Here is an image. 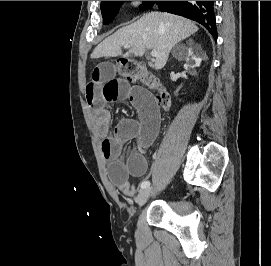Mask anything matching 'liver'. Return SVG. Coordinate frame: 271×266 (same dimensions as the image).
I'll list each match as a JSON object with an SVG mask.
<instances>
[{"label":"liver","instance_id":"obj_1","mask_svg":"<svg viewBox=\"0 0 271 266\" xmlns=\"http://www.w3.org/2000/svg\"><path fill=\"white\" fill-rule=\"evenodd\" d=\"M197 31L193 22L181 16L149 12L106 38L95 48L91 58L120 56L125 45L137 56H142L146 49H153L158 53L154 66L160 70L166 65L171 49Z\"/></svg>","mask_w":271,"mask_h":266}]
</instances>
